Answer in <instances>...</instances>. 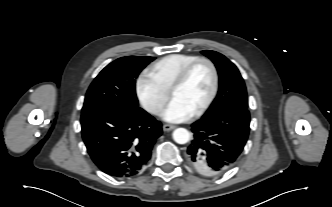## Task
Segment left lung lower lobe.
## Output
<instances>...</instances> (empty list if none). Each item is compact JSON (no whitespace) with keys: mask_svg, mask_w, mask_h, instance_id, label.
Segmentation results:
<instances>
[{"mask_svg":"<svg viewBox=\"0 0 332 207\" xmlns=\"http://www.w3.org/2000/svg\"><path fill=\"white\" fill-rule=\"evenodd\" d=\"M249 124V111L243 107L228 108L193 123L194 138L187 148L189 165L208 177L229 170L247 142Z\"/></svg>","mask_w":332,"mask_h":207,"instance_id":"left-lung-lower-lobe-1","label":"left lung lower lobe"}]
</instances>
